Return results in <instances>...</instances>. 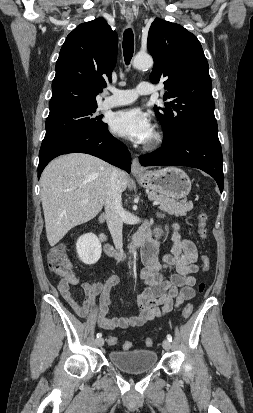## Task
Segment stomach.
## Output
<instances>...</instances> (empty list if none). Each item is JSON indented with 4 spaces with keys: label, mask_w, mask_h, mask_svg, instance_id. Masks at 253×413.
I'll use <instances>...</instances> for the list:
<instances>
[{
    "label": "stomach",
    "mask_w": 253,
    "mask_h": 413,
    "mask_svg": "<svg viewBox=\"0 0 253 413\" xmlns=\"http://www.w3.org/2000/svg\"><path fill=\"white\" fill-rule=\"evenodd\" d=\"M136 179L142 187L172 199L184 198L191 190L188 175L177 167L146 171L143 175H136Z\"/></svg>",
    "instance_id": "stomach-1"
}]
</instances>
